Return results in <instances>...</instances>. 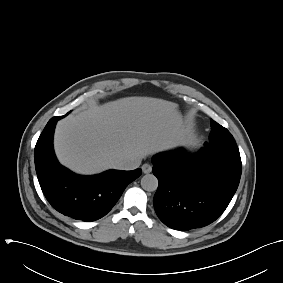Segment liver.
Wrapping results in <instances>:
<instances>
[{
  "label": "liver",
  "mask_w": 283,
  "mask_h": 283,
  "mask_svg": "<svg viewBox=\"0 0 283 283\" xmlns=\"http://www.w3.org/2000/svg\"><path fill=\"white\" fill-rule=\"evenodd\" d=\"M183 133L175 103L127 97L69 115L58 122L59 161L80 174L114 168L120 159L140 160L174 146Z\"/></svg>",
  "instance_id": "6515ba94"
}]
</instances>
